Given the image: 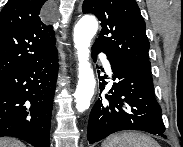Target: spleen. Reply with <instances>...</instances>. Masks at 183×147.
Wrapping results in <instances>:
<instances>
[{"label": "spleen", "mask_w": 183, "mask_h": 147, "mask_svg": "<svg viewBox=\"0 0 183 147\" xmlns=\"http://www.w3.org/2000/svg\"><path fill=\"white\" fill-rule=\"evenodd\" d=\"M101 147H160V145L145 134L123 132L109 136Z\"/></svg>", "instance_id": "3e777b00"}]
</instances>
